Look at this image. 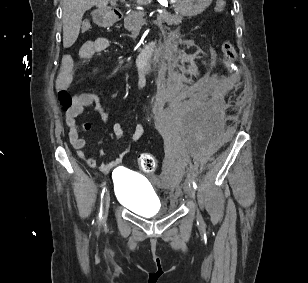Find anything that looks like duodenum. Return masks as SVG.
<instances>
[{"label":"duodenum","instance_id":"1","mask_svg":"<svg viewBox=\"0 0 308 283\" xmlns=\"http://www.w3.org/2000/svg\"><path fill=\"white\" fill-rule=\"evenodd\" d=\"M123 12L118 8H111L103 13H101L97 21L102 26H108L115 22H118L122 19ZM157 43V40L155 38H152L148 44L144 46L141 50V55L138 56L139 61V68L141 70L145 69L147 67V62L151 60V57L155 55V52L152 50Z\"/></svg>","mask_w":308,"mask_h":283}]
</instances>
